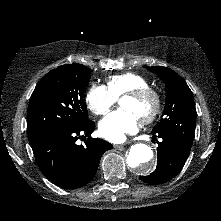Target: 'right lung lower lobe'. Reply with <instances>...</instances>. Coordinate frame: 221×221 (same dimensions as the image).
<instances>
[{
  "instance_id": "1",
  "label": "right lung lower lobe",
  "mask_w": 221,
  "mask_h": 221,
  "mask_svg": "<svg viewBox=\"0 0 221 221\" xmlns=\"http://www.w3.org/2000/svg\"><path fill=\"white\" fill-rule=\"evenodd\" d=\"M94 128L95 123L86 120L76 128L50 132L31 141L43 175L65 189L80 188L88 183L96 174L101 156L113 148L111 143L90 136ZM82 134L88 136L85 145H77Z\"/></svg>"
}]
</instances>
